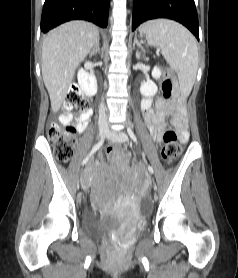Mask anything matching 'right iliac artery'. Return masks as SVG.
<instances>
[{"label":"right iliac artery","mask_w":238,"mask_h":278,"mask_svg":"<svg viewBox=\"0 0 238 278\" xmlns=\"http://www.w3.org/2000/svg\"><path fill=\"white\" fill-rule=\"evenodd\" d=\"M104 143V140L99 141L97 144H95L92 148V150L90 151V153L88 154V156L82 161V165L86 164L87 161L89 160V158L102 146V144Z\"/></svg>","instance_id":"obj_1"}]
</instances>
